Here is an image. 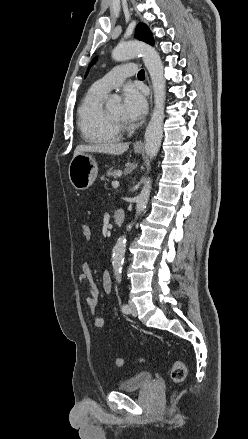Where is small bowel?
Returning <instances> with one entry per match:
<instances>
[{
	"label": "small bowel",
	"mask_w": 248,
	"mask_h": 439,
	"mask_svg": "<svg viewBox=\"0 0 248 439\" xmlns=\"http://www.w3.org/2000/svg\"><path fill=\"white\" fill-rule=\"evenodd\" d=\"M79 281L86 289L85 301L89 307V313L92 316L93 325L96 328H103L105 326V319L98 315L97 305L99 290L92 279L91 266L85 262L81 266L79 273ZM102 286L105 293L110 294L112 290L111 275L108 270L102 273Z\"/></svg>",
	"instance_id": "c3829d8e"
}]
</instances>
